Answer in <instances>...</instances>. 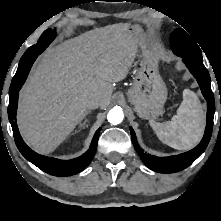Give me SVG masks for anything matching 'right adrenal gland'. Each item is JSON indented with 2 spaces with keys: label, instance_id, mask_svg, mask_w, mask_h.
<instances>
[{
  "label": "right adrenal gland",
  "instance_id": "obj_1",
  "mask_svg": "<svg viewBox=\"0 0 221 221\" xmlns=\"http://www.w3.org/2000/svg\"><path fill=\"white\" fill-rule=\"evenodd\" d=\"M90 112H91V111H86L85 116H87ZM87 122H88V120L85 119L83 123H80V127H82V126L85 127V124H86Z\"/></svg>",
  "mask_w": 221,
  "mask_h": 221
}]
</instances>
